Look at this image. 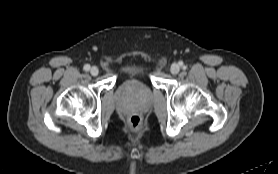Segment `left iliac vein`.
Instances as JSON below:
<instances>
[{"instance_id":"4c4485c4","label":"left iliac vein","mask_w":278,"mask_h":174,"mask_svg":"<svg viewBox=\"0 0 278 174\" xmlns=\"http://www.w3.org/2000/svg\"><path fill=\"white\" fill-rule=\"evenodd\" d=\"M180 71V67L178 64L174 63L171 65L170 72L172 74H177Z\"/></svg>"}]
</instances>
